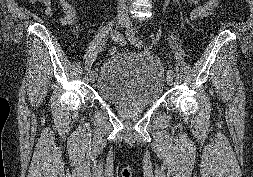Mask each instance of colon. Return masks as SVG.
I'll return each instance as SVG.
<instances>
[{
	"label": "colon",
	"instance_id": "5ec220e1",
	"mask_svg": "<svg viewBox=\"0 0 253 177\" xmlns=\"http://www.w3.org/2000/svg\"><path fill=\"white\" fill-rule=\"evenodd\" d=\"M108 52H109L110 55L113 56V55L117 54V49H116L115 46H111V47L109 48Z\"/></svg>",
	"mask_w": 253,
	"mask_h": 177
}]
</instances>
